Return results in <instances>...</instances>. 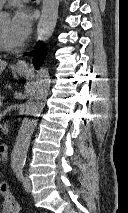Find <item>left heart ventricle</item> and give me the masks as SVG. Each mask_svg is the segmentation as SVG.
<instances>
[{"mask_svg": "<svg viewBox=\"0 0 128 213\" xmlns=\"http://www.w3.org/2000/svg\"><path fill=\"white\" fill-rule=\"evenodd\" d=\"M0 32L11 44L16 45L11 37V21L9 19L0 22Z\"/></svg>", "mask_w": 128, "mask_h": 213, "instance_id": "left-heart-ventricle-1", "label": "left heart ventricle"}]
</instances>
